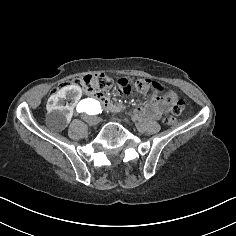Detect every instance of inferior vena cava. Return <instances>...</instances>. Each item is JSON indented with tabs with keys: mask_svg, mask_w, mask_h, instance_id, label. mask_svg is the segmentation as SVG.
Wrapping results in <instances>:
<instances>
[{
	"mask_svg": "<svg viewBox=\"0 0 236 236\" xmlns=\"http://www.w3.org/2000/svg\"><path fill=\"white\" fill-rule=\"evenodd\" d=\"M82 120H85V123L88 125H96L98 123H101V118L94 116L82 115Z\"/></svg>",
	"mask_w": 236,
	"mask_h": 236,
	"instance_id": "1",
	"label": "inferior vena cava"
}]
</instances>
